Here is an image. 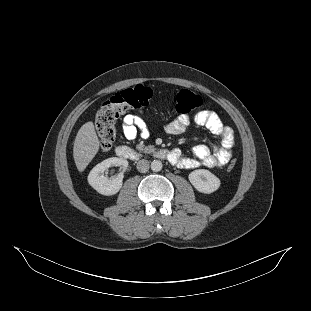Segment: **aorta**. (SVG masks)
I'll return each mask as SVG.
<instances>
[{
  "label": "aorta",
  "instance_id": "aorta-1",
  "mask_svg": "<svg viewBox=\"0 0 311 311\" xmlns=\"http://www.w3.org/2000/svg\"><path fill=\"white\" fill-rule=\"evenodd\" d=\"M163 164L160 160L156 159L151 162V169L155 172L162 170Z\"/></svg>",
  "mask_w": 311,
  "mask_h": 311
}]
</instances>
